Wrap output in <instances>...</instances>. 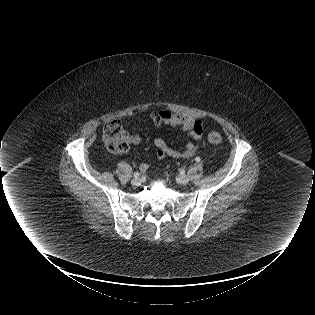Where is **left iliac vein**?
I'll list each match as a JSON object with an SVG mask.
<instances>
[{
	"label": "left iliac vein",
	"mask_w": 315,
	"mask_h": 315,
	"mask_svg": "<svg viewBox=\"0 0 315 315\" xmlns=\"http://www.w3.org/2000/svg\"><path fill=\"white\" fill-rule=\"evenodd\" d=\"M189 180H190L189 177L186 176V175H180V176L178 177V183H180V184H182V185L188 184Z\"/></svg>",
	"instance_id": "1"
}]
</instances>
